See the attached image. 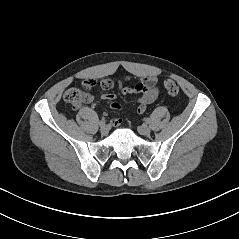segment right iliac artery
I'll use <instances>...</instances> for the list:
<instances>
[{
	"instance_id": "82829eb1",
	"label": "right iliac artery",
	"mask_w": 239,
	"mask_h": 239,
	"mask_svg": "<svg viewBox=\"0 0 239 239\" xmlns=\"http://www.w3.org/2000/svg\"><path fill=\"white\" fill-rule=\"evenodd\" d=\"M105 124V119L103 118L100 122H99V125L102 126Z\"/></svg>"
}]
</instances>
